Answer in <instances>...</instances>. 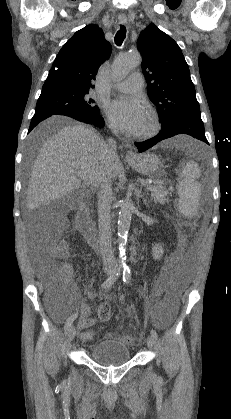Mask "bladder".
I'll return each mask as SVG.
<instances>
[{"mask_svg": "<svg viewBox=\"0 0 231 419\" xmlns=\"http://www.w3.org/2000/svg\"><path fill=\"white\" fill-rule=\"evenodd\" d=\"M130 358L129 347L116 339L102 340L90 352V359L103 366H117L128 362Z\"/></svg>", "mask_w": 231, "mask_h": 419, "instance_id": "1", "label": "bladder"}]
</instances>
